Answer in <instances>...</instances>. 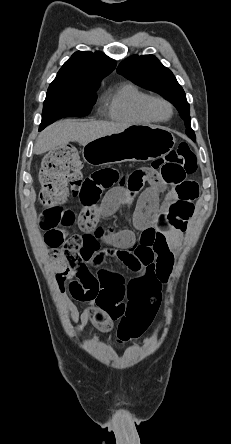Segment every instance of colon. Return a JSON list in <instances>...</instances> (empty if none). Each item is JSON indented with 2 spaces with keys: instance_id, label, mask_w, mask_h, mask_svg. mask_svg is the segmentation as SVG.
<instances>
[{
  "instance_id": "obj_1",
  "label": "colon",
  "mask_w": 231,
  "mask_h": 444,
  "mask_svg": "<svg viewBox=\"0 0 231 444\" xmlns=\"http://www.w3.org/2000/svg\"><path fill=\"white\" fill-rule=\"evenodd\" d=\"M196 157L187 143L171 151L164 158L154 160L150 166L131 172L121 183L129 184L147 176L149 172L159 174L160 178L174 188H182L187 183L186 176L195 172ZM39 200L45 206L41 213L39 224L45 231L67 229L74 224L72 211L62 206L69 194V188L78 196L82 190L84 179L80 171L77 150L67 146L46 154L40 171ZM193 213V206L179 201L171 208L172 222L183 232L187 220ZM180 218L178 221L177 218ZM69 269H79L83 265L82 258L76 252H65ZM71 295L75 298L82 296V286L78 280L71 277L68 280ZM161 301V287L152 283L145 291L133 296L127 303L125 313L121 317L118 329V341L125 342L139 337L151 324Z\"/></svg>"
}]
</instances>
